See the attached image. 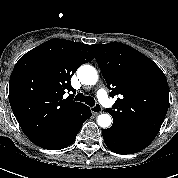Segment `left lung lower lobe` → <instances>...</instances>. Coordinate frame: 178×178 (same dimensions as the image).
Masks as SVG:
<instances>
[{
	"label": "left lung lower lobe",
	"mask_w": 178,
	"mask_h": 178,
	"mask_svg": "<svg viewBox=\"0 0 178 178\" xmlns=\"http://www.w3.org/2000/svg\"><path fill=\"white\" fill-rule=\"evenodd\" d=\"M104 142L113 152L132 154L146 148L151 142L127 133L115 126L102 131Z\"/></svg>",
	"instance_id": "obj_1"
}]
</instances>
